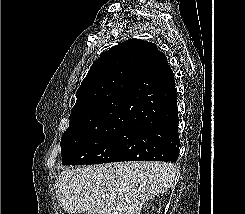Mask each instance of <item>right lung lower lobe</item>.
<instances>
[{"mask_svg": "<svg viewBox=\"0 0 245 214\" xmlns=\"http://www.w3.org/2000/svg\"><path fill=\"white\" fill-rule=\"evenodd\" d=\"M141 112L129 124L118 149L120 161L176 162L179 154L178 108L174 75L169 66L166 84L157 94H142L137 100Z\"/></svg>", "mask_w": 245, "mask_h": 214, "instance_id": "98d812e1", "label": "right lung lower lobe"}]
</instances>
